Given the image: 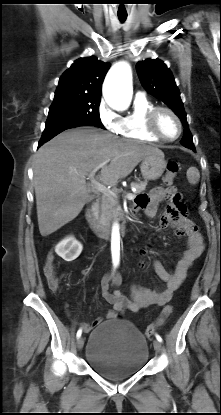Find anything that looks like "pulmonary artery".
Here are the masks:
<instances>
[{"label":"pulmonary artery","instance_id":"e3ab8cb5","mask_svg":"<svg viewBox=\"0 0 221 415\" xmlns=\"http://www.w3.org/2000/svg\"><path fill=\"white\" fill-rule=\"evenodd\" d=\"M143 95H144V93L141 92V91H139V92L136 93V96H143Z\"/></svg>","mask_w":221,"mask_h":415}]
</instances>
